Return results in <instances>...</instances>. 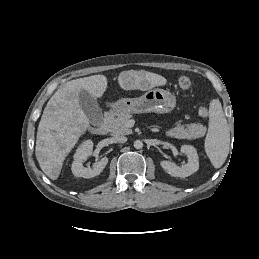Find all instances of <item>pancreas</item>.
Returning a JSON list of instances; mask_svg holds the SVG:
<instances>
[{"mask_svg":"<svg viewBox=\"0 0 259 259\" xmlns=\"http://www.w3.org/2000/svg\"><path fill=\"white\" fill-rule=\"evenodd\" d=\"M132 118L131 114L119 115L117 118L109 117L105 121L108 131L112 135H128L132 130L127 127L126 123ZM206 127L200 123H190L186 125H178L166 132L167 136L182 138V139H196L204 136Z\"/></svg>","mask_w":259,"mask_h":259,"instance_id":"1","label":"pancreas"}]
</instances>
